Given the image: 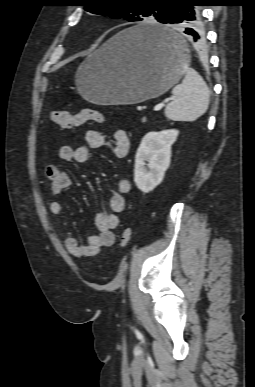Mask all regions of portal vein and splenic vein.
<instances>
[{
	"instance_id": "obj_1",
	"label": "portal vein and splenic vein",
	"mask_w": 255,
	"mask_h": 387,
	"mask_svg": "<svg viewBox=\"0 0 255 387\" xmlns=\"http://www.w3.org/2000/svg\"><path fill=\"white\" fill-rule=\"evenodd\" d=\"M162 108H163V103L157 104V105L154 107V111H160Z\"/></svg>"
}]
</instances>
